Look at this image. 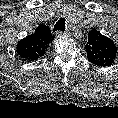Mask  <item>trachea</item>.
Listing matches in <instances>:
<instances>
[{"mask_svg":"<svg viewBox=\"0 0 118 118\" xmlns=\"http://www.w3.org/2000/svg\"><path fill=\"white\" fill-rule=\"evenodd\" d=\"M65 18L63 17V18H60L59 20H58V22L55 24V26H54V29H53V31L55 32V31H62V32H65V28H66V26H65Z\"/></svg>","mask_w":118,"mask_h":118,"instance_id":"1","label":"trachea"}]
</instances>
